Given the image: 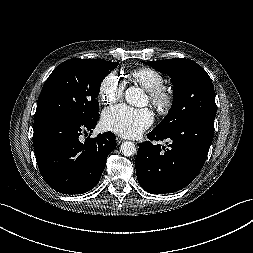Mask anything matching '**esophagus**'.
Instances as JSON below:
<instances>
[{
    "label": "esophagus",
    "mask_w": 253,
    "mask_h": 253,
    "mask_svg": "<svg viewBox=\"0 0 253 253\" xmlns=\"http://www.w3.org/2000/svg\"><path fill=\"white\" fill-rule=\"evenodd\" d=\"M124 140L122 139V138H120V137H116V142H117V144H120V143H122Z\"/></svg>",
    "instance_id": "obj_1"
}]
</instances>
